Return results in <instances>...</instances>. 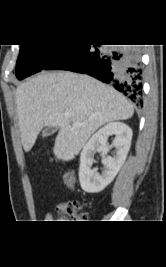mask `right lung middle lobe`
I'll return each instance as SVG.
<instances>
[{
  "instance_id": "obj_1",
  "label": "right lung middle lobe",
  "mask_w": 166,
  "mask_h": 267,
  "mask_svg": "<svg viewBox=\"0 0 166 267\" xmlns=\"http://www.w3.org/2000/svg\"><path fill=\"white\" fill-rule=\"evenodd\" d=\"M64 47V45H20L16 64V77L22 80L41 71Z\"/></svg>"
}]
</instances>
